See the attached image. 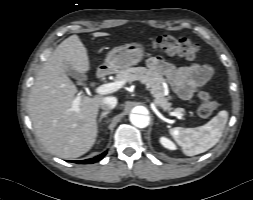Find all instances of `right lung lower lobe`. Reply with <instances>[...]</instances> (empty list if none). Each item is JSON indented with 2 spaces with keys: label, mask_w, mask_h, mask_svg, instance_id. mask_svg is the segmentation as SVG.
Instances as JSON below:
<instances>
[{
  "label": "right lung lower lobe",
  "mask_w": 253,
  "mask_h": 200,
  "mask_svg": "<svg viewBox=\"0 0 253 200\" xmlns=\"http://www.w3.org/2000/svg\"><path fill=\"white\" fill-rule=\"evenodd\" d=\"M107 152H104L102 153L101 155H98L92 159H87V160H82V161H73L75 163H79V164H91V163H94V162H97L99 160H101L105 155H106Z\"/></svg>",
  "instance_id": "right-lung-lower-lobe-1"
}]
</instances>
